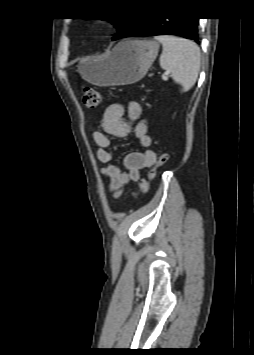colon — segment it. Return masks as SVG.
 Listing matches in <instances>:
<instances>
[{"label":"colon","mask_w":254,"mask_h":355,"mask_svg":"<svg viewBox=\"0 0 254 355\" xmlns=\"http://www.w3.org/2000/svg\"><path fill=\"white\" fill-rule=\"evenodd\" d=\"M83 103L88 108H96L103 103V97L95 89L87 87L83 89ZM167 161L168 155L166 153L159 155L154 167L149 172L148 178L140 180L139 191L133 195L135 198L138 197L139 194L148 191L150 182L155 178L157 171L162 168L167 163Z\"/></svg>","instance_id":"5ec220e1"}]
</instances>
